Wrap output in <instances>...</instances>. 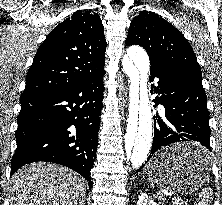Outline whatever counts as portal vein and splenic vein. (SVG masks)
<instances>
[{
  "mask_svg": "<svg viewBox=\"0 0 222 205\" xmlns=\"http://www.w3.org/2000/svg\"><path fill=\"white\" fill-rule=\"evenodd\" d=\"M162 192L168 197H173L177 205H181V203L183 202L182 199L174 197L172 191L162 190Z\"/></svg>",
  "mask_w": 222,
  "mask_h": 205,
  "instance_id": "portal-vein-and-splenic-vein-1",
  "label": "portal vein and splenic vein"
}]
</instances>
